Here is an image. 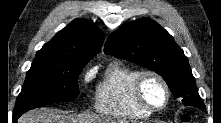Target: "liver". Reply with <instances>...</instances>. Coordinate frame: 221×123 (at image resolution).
Masks as SVG:
<instances>
[{
	"label": "liver",
	"mask_w": 221,
	"mask_h": 123,
	"mask_svg": "<svg viewBox=\"0 0 221 123\" xmlns=\"http://www.w3.org/2000/svg\"><path fill=\"white\" fill-rule=\"evenodd\" d=\"M101 120H94L86 115L65 114L60 110L42 108L31 110L18 119V123H95Z\"/></svg>",
	"instance_id": "liver-1"
}]
</instances>
